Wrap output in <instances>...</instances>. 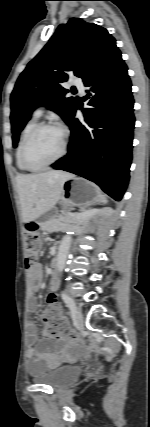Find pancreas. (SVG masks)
I'll return each mask as SVG.
<instances>
[{
    "instance_id": "1",
    "label": "pancreas",
    "mask_w": 150,
    "mask_h": 427,
    "mask_svg": "<svg viewBox=\"0 0 150 427\" xmlns=\"http://www.w3.org/2000/svg\"><path fill=\"white\" fill-rule=\"evenodd\" d=\"M77 218H78L77 214L65 211L58 216L57 222L55 224L50 225L46 223L43 225V228L47 231L63 230L66 227H68L70 224L74 223Z\"/></svg>"
}]
</instances>
